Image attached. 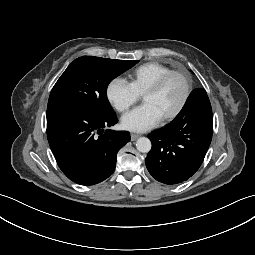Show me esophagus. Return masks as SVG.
I'll use <instances>...</instances> for the list:
<instances>
[{"instance_id": "1", "label": "esophagus", "mask_w": 255, "mask_h": 255, "mask_svg": "<svg viewBox=\"0 0 255 255\" xmlns=\"http://www.w3.org/2000/svg\"><path fill=\"white\" fill-rule=\"evenodd\" d=\"M139 137L138 134H131V140L135 141Z\"/></svg>"}]
</instances>
